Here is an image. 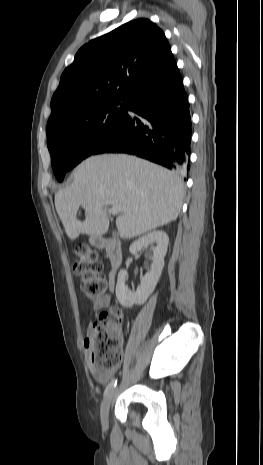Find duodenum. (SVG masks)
<instances>
[{
  "label": "duodenum",
  "mask_w": 263,
  "mask_h": 465,
  "mask_svg": "<svg viewBox=\"0 0 263 465\" xmlns=\"http://www.w3.org/2000/svg\"><path fill=\"white\" fill-rule=\"evenodd\" d=\"M93 243L96 247L103 248L106 251L109 263L111 265L110 279L113 281L115 271L121 265L123 260L121 243L118 240L112 238H96L94 239Z\"/></svg>",
  "instance_id": "duodenum-1"
}]
</instances>
